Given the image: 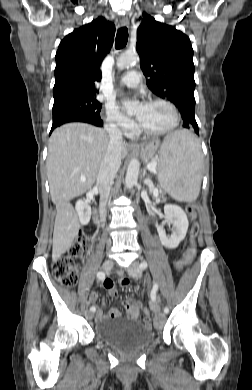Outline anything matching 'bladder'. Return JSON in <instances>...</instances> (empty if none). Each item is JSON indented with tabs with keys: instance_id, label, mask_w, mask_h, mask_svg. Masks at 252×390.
I'll list each match as a JSON object with an SVG mask.
<instances>
[{
	"instance_id": "bladder-1",
	"label": "bladder",
	"mask_w": 252,
	"mask_h": 390,
	"mask_svg": "<svg viewBox=\"0 0 252 390\" xmlns=\"http://www.w3.org/2000/svg\"><path fill=\"white\" fill-rule=\"evenodd\" d=\"M95 337L105 345L123 353H133L148 347L154 331L131 320L103 319L95 323Z\"/></svg>"
}]
</instances>
